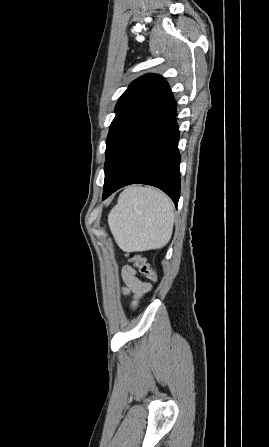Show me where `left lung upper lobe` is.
Returning <instances> with one entry per match:
<instances>
[{"label": "left lung upper lobe", "instance_id": "5c2ea615", "mask_svg": "<svg viewBox=\"0 0 269 447\" xmlns=\"http://www.w3.org/2000/svg\"><path fill=\"white\" fill-rule=\"evenodd\" d=\"M173 95L156 74L135 80L120 97L106 141L105 182L110 184L142 138L169 110Z\"/></svg>", "mask_w": 269, "mask_h": 447}]
</instances>
